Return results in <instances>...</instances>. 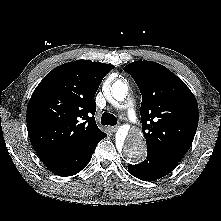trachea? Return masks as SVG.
<instances>
[{
	"label": "trachea",
	"instance_id": "1",
	"mask_svg": "<svg viewBox=\"0 0 221 221\" xmlns=\"http://www.w3.org/2000/svg\"><path fill=\"white\" fill-rule=\"evenodd\" d=\"M101 124L114 126L117 124V118L113 114L105 112L102 114Z\"/></svg>",
	"mask_w": 221,
	"mask_h": 221
}]
</instances>
